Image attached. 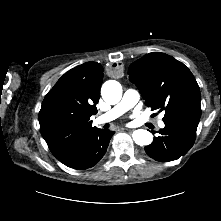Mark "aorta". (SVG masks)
Wrapping results in <instances>:
<instances>
[{
    "label": "aorta",
    "mask_w": 221,
    "mask_h": 221,
    "mask_svg": "<svg viewBox=\"0 0 221 221\" xmlns=\"http://www.w3.org/2000/svg\"><path fill=\"white\" fill-rule=\"evenodd\" d=\"M101 95L105 102L117 104L122 98V86L115 80L106 81L101 88ZM133 140L140 146L149 145L153 141V135L144 129H137L132 134Z\"/></svg>",
    "instance_id": "762f6f07"
}]
</instances>
